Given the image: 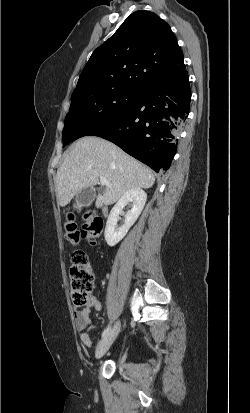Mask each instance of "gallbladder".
Masks as SVG:
<instances>
[{"label": "gallbladder", "mask_w": 250, "mask_h": 413, "mask_svg": "<svg viewBox=\"0 0 250 413\" xmlns=\"http://www.w3.org/2000/svg\"><path fill=\"white\" fill-rule=\"evenodd\" d=\"M95 198V190L88 187L76 195V207L80 209L83 206H89Z\"/></svg>", "instance_id": "gallbladder-1"}]
</instances>
